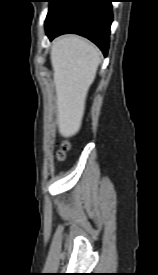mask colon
<instances>
[{
  "label": "colon",
  "instance_id": "1",
  "mask_svg": "<svg viewBox=\"0 0 158 275\" xmlns=\"http://www.w3.org/2000/svg\"><path fill=\"white\" fill-rule=\"evenodd\" d=\"M69 149V144L65 143L63 145V149L58 153V159L59 160H64L65 159V155H66V151Z\"/></svg>",
  "mask_w": 158,
  "mask_h": 275
}]
</instances>
